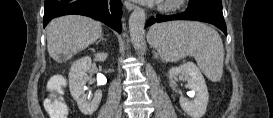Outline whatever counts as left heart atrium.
Segmentation results:
<instances>
[{
	"instance_id": "obj_1",
	"label": "left heart atrium",
	"mask_w": 273,
	"mask_h": 118,
	"mask_svg": "<svg viewBox=\"0 0 273 118\" xmlns=\"http://www.w3.org/2000/svg\"><path fill=\"white\" fill-rule=\"evenodd\" d=\"M144 3H153V2H159L160 0H139Z\"/></svg>"
}]
</instances>
